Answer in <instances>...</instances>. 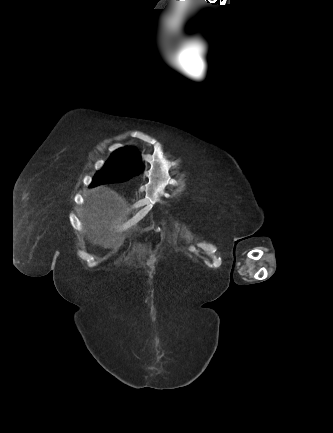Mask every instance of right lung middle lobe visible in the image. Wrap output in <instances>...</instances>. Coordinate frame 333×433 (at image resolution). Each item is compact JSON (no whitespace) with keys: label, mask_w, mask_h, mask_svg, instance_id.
<instances>
[{"label":"right lung middle lobe","mask_w":333,"mask_h":433,"mask_svg":"<svg viewBox=\"0 0 333 433\" xmlns=\"http://www.w3.org/2000/svg\"><path fill=\"white\" fill-rule=\"evenodd\" d=\"M142 165L129 159L110 158L96 173L91 186L104 183L123 182L141 172Z\"/></svg>","instance_id":"1"}]
</instances>
